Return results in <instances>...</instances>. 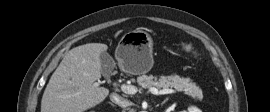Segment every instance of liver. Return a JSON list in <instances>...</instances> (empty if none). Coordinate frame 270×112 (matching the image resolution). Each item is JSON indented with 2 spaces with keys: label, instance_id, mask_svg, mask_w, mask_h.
Masks as SVG:
<instances>
[{
  "label": "liver",
  "instance_id": "obj_1",
  "mask_svg": "<svg viewBox=\"0 0 270 112\" xmlns=\"http://www.w3.org/2000/svg\"><path fill=\"white\" fill-rule=\"evenodd\" d=\"M121 33L116 32L115 38ZM106 44L88 43L71 49L52 74L41 100V112H83L109 95L101 78L100 55Z\"/></svg>",
  "mask_w": 270,
  "mask_h": 112
}]
</instances>
